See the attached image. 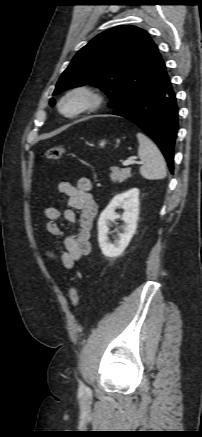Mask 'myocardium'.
I'll use <instances>...</instances> for the list:
<instances>
[{
	"label": "myocardium",
	"mask_w": 202,
	"mask_h": 437,
	"mask_svg": "<svg viewBox=\"0 0 202 437\" xmlns=\"http://www.w3.org/2000/svg\"><path fill=\"white\" fill-rule=\"evenodd\" d=\"M72 98H79L80 106L73 111H65V103ZM102 103L103 97L97 90L87 85H80L70 88L63 94L58 102V111L64 117L74 119L98 109Z\"/></svg>",
	"instance_id": "f54148a6"
}]
</instances>
